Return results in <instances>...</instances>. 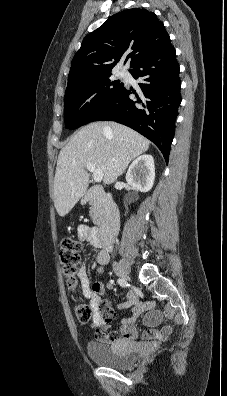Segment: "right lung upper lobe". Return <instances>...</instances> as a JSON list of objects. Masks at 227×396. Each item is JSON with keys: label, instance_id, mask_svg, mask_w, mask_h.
<instances>
[{"label": "right lung upper lobe", "instance_id": "right-lung-upper-lobe-1", "mask_svg": "<svg viewBox=\"0 0 227 396\" xmlns=\"http://www.w3.org/2000/svg\"><path fill=\"white\" fill-rule=\"evenodd\" d=\"M168 42L170 37L163 23L153 12L132 8L114 14L84 38L72 60L67 88L111 72L124 56L131 67Z\"/></svg>", "mask_w": 227, "mask_h": 396}]
</instances>
